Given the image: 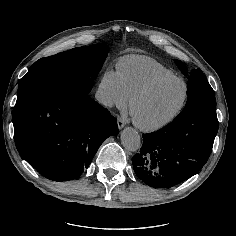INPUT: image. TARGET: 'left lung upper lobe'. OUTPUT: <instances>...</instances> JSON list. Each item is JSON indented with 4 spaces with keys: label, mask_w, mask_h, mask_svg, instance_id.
I'll return each instance as SVG.
<instances>
[{
    "label": "left lung upper lobe",
    "mask_w": 236,
    "mask_h": 236,
    "mask_svg": "<svg viewBox=\"0 0 236 236\" xmlns=\"http://www.w3.org/2000/svg\"><path fill=\"white\" fill-rule=\"evenodd\" d=\"M176 65L184 75H187V67L175 59ZM188 100L183 110L191 107H208L216 109L215 93L200 69L192 70L187 83Z\"/></svg>",
    "instance_id": "5c2ea615"
}]
</instances>
